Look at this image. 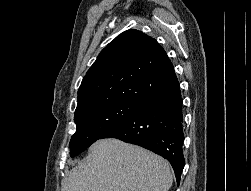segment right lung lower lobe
<instances>
[{
  "label": "right lung lower lobe",
  "mask_w": 251,
  "mask_h": 191,
  "mask_svg": "<svg viewBox=\"0 0 251 191\" xmlns=\"http://www.w3.org/2000/svg\"><path fill=\"white\" fill-rule=\"evenodd\" d=\"M183 99L179 81L144 101L103 138H117L144 147L167 159L180 182L183 156Z\"/></svg>",
  "instance_id": "obj_1"
}]
</instances>
